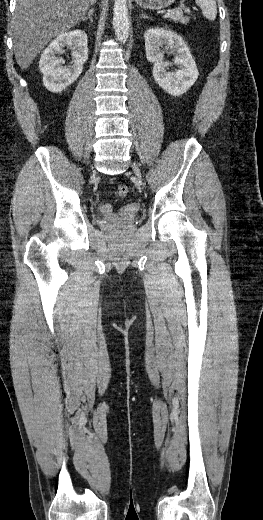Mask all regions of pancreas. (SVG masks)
<instances>
[{"label":"pancreas","mask_w":263,"mask_h":520,"mask_svg":"<svg viewBox=\"0 0 263 520\" xmlns=\"http://www.w3.org/2000/svg\"><path fill=\"white\" fill-rule=\"evenodd\" d=\"M184 12L185 13H190L189 9H184V11H182V10H173V11H171V14L167 18H169L170 20H173L175 22H180V23H183V24H187V23H189L190 18L188 16H184L183 15Z\"/></svg>","instance_id":"1"}]
</instances>
